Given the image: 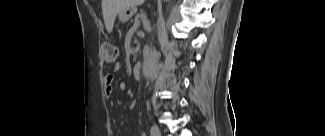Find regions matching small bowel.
Masks as SVG:
<instances>
[{
  "label": "small bowel",
  "mask_w": 325,
  "mask_h": 136,
  "mask_svg": "<svg viewBox=\"0 0 325 136\" xmlns=\"http://www.w3.org/2000/svg\"><path fill=\"white\" fill-rule=\"evenodd\" d=\"M119 68H120L119 65L115 66V70H118ZM113 81H114V78L111 74H107L103 78V82H104L103 94H104L105 98H107V99H110L113 95ZM119 88L122 91H126L127 84L124 81H121L119 83Z\"/></svg>",
  "instance_id": "obj_1"
}]
</instances>
